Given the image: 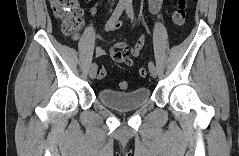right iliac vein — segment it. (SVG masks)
Returning a JSON list of instances; mask_svg holds the SVG:
<instances>
[{
  "mask_svg": "<svg viewBox=\"0 0 239 156\" xmlns=\"http://www.w3.org/2000/svg\"><path fill=\"white\" fill-rule=\"evenodd\" d=\"M96 74H97V66L91 67V70H90V73H89L90 78L94 79L96 77Z\"/></svg>",
  "mask_w": 239,
  "mask_h": 156,
  "instance_id": "1",
  "label": "right iliac vein"
}]
</instances>
